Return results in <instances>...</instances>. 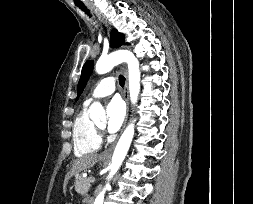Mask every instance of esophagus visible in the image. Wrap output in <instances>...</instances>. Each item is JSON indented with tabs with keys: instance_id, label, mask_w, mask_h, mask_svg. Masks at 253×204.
Listing matches in <instances>:
<instances>
[{
	"instance_id": "1",
	"label": "esophagus",
	"mask_w": 253,
	"mask_h": 204,
	"mask_svg": "<svg viewBox=\"0 0 253 204\" xmlns=\"http://www.w3.org/2000/svg\"><path fill=\"white\" fill-rule=\"evenodd\" d=\"M89 7L94 11V13L96 14V16L98 17V19L108 28V30H110V27L107 23V21L101 16V14L94 9V7H92L91 5H89ZM125 86H124V90H123V96L124 99L126 101L127 104V113H126V117L124 120V124H123V128L124 129L127 119H128V114H129V89H128V72L127 69L125 68ZM115 143H113L107 150H105L104 152L101 153L100 157L101 158H109L111 157L112 151L114 149Z\"/></svg>"
}]
</instances>
